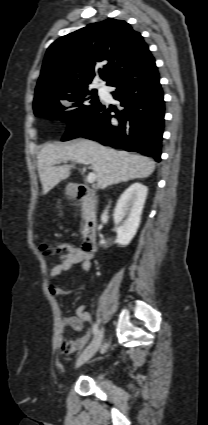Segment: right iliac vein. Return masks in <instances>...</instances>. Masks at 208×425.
<instances>
[{
    "label": "right iliac vein",
    "mask_w": 208,
    "mask_h": 425,
    "mask_svg": "<svg viewBox=\"0 0 208 425\" xmlns=\"http://www.w3.org/2000/svg\"><path fill=\"white\" fill-rule=\"evenodd\" d=\"M103 339V329H101L96 335L95 339L90 343V345L82 352L80 357L77 360L76 367H80L88 360H90L95 353L98 351L101 342Z\"/></svg>",
    "instance_id": "right-iliac-vein-1"
}]
</instances>
